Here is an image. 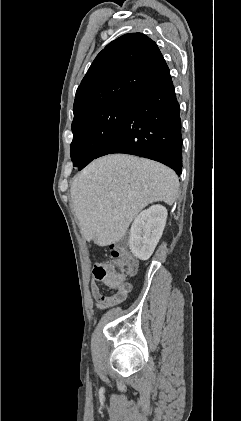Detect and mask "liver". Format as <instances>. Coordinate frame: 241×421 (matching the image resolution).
Listing matches in <instances>:
<instances>
[{"instance_id": "1", "label": "liver", "mask_w": 241, "mask_h": 421, "mask_svg": "<svg viewBox=\"0 0 241 421\" xmlns=\"http://www.w3.org/2000/svg\"><path fill=\"white\" fill-rule=\"evenodd\" d=\"M176 173L158 162L126 154L96 159L72 181L71 201L83 237L101 246L120 241L148 204L172 205Z\"/></svg>"}]
</instances>
